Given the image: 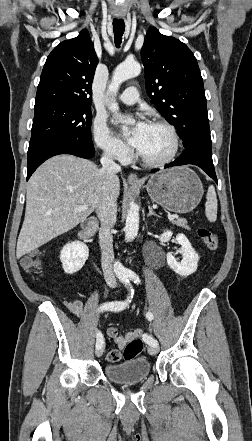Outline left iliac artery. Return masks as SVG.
Segmentation results:
<instances>
[{"mask_svg": "<svg viewBox=\"0 0 252 441\" xmlns=\"http://www.w3.org/2000/svg\"><path fill=\"white\" fill-rule=\"evenodd\" d=\"M129 278L132 279V280L134 281V283H137V284L140 283V278H139V276H138L136 273H134V272H131V273L129 274ZM146 318H147L149 321H152V320H153V314H152L150 311H148V312L146 313ZM141 340H142V341H145L147 344H149V345H151V346H158V342H157V340L154 339V338L151 336V333H150V331H148V330H144V331H142V333H141Z\"/></svg>", "mask_w": 252, "mask_h": 441, "instance_id": "1", "label": "left iliac artery"}]
</instances>
